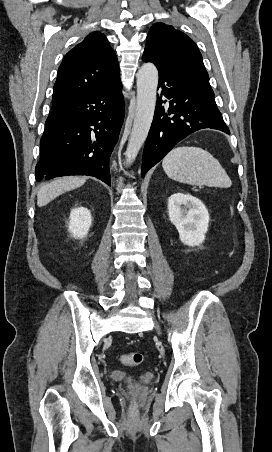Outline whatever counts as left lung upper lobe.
Listing matches in <instances>:
<instances>
[{
  "label": "left lung upper lobe",
  "mask_w": 272,
  "mask_h": 452,
  "mask_svg": "<svg viewBox=\"0 0 272 452\" xmlns=\"http://www.w3.org/2000/svg\"><path fill=\"white\" fill-rule=\"evenodd\" d=\"M143 58L153 62L158 69H170L210 86L197 45L171 25L156 23L151 27Z\"/></svg>",
  "instance_id": "5c2ea615"
}]
</instances>
